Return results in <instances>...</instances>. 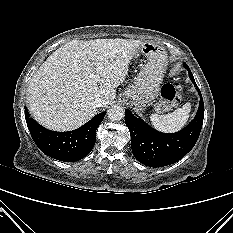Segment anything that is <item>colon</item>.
<instances>
[{"mask_svg":"<svg viewBox=\"0 0 233 233\" xmlns=\"http://www.w3.org/2000/svg\"><path fill=\"white\" fill-rule=\"evenodd\" d=\"M183 87L175 81L167 83L161 88L160 100L157 104V109L161 112L168 111L172 106L180 102Z\"/></svg>","mask_w":233,"mask_h":233,"instance_id":"obj_1","label":"colon"}]
</instances>
